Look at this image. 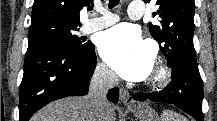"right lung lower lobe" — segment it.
<instances>
[{
    "instance_id": "right-lung-lower-lobe-1",
    "label": "right lung lower lobe",
    "mask_w": 217,
    "mask_h": 121,
    "mask_svg": "<svg viewBox=\"0 0 217 121\" xmlns=\"http://www.w3.org/2000/svg\"><path fill=\"white\" fill-rule=\"evenodd\" d=\"M96 63L92 42L81 50L58 46L27 50L19 91V121H28L53 100L86 95ZM108 98L117 102L118 88L111 89Z\"/></svg>"
}]
</instances>
